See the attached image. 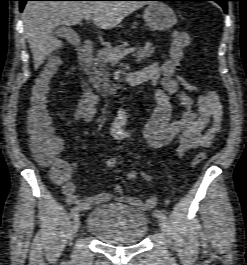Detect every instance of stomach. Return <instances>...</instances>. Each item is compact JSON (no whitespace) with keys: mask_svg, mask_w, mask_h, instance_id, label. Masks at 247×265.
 <instances>
[{"mask_svg":"<svg viewBox=\"0 0 247 265\" xmlns=\"http://www.w3.org/2000/svg\"><path fill=\"white\" fill-rule=\"evenodd\" d=\"M144 21L151 30L164 31L177 22L175 12L163 2H152L144 10Z\"/></svg>","mask_w":247,"mask_h":265,"instance_id":"stomach-1","label":"stomach"}]
</instances>
